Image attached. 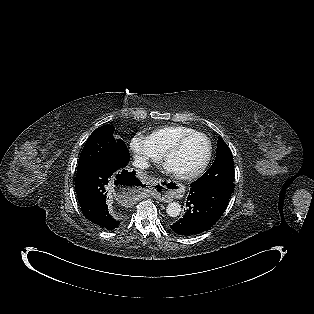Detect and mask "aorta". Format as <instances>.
I'll list each match as a JSON object with an SVG mask.
<instances>
[{
    "mask_svg": "<svg viewBox=\"0 0 314 314\" xmlns=\"http://www.w3.org/2000/svg\"><path fill=\"white\" fill-rule=\"evenodd\" d=\"M182 211L181 205L177 202H170L166 207V212L171 217H177Z\"/></svg>",
    "mask_w": 314,
    "mask_h": 314,
    "instance_id": "762f6f07",
    "label": "aorta"
}]
</instances>
